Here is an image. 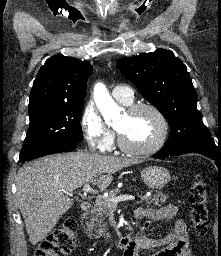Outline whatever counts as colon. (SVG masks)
<instances>
[{
    "label": "colon",
    "instance_id": "1",
    "mask_svg": "<svg viewBox=\"0 0 221 256\" xmlns=\"http://www.w3.org/2000/svg\"><path fill=\"white\" fill-rule=\"evenodd\" d=\"M190 215L196 233L206 235L208 231L207 187L201 176H196L190 186ZM77 223L65 220L43 239L34 256H68L76 246Z\"/></svg>",
    "mask_w": 221,
    "mask_h": 256
}]
</instances>
